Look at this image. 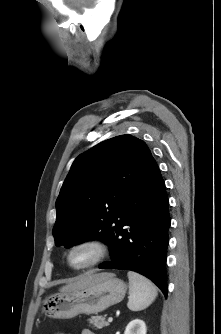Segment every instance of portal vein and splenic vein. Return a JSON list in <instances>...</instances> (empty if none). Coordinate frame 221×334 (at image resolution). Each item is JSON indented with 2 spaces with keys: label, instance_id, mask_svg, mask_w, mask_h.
<instances>
[{
  "label": "portal vein and splenic vein",
  "instance_id": "portal-vein-and-splenic-vein-1",
  "mask_svg": "<svg viewBox=\"0 0 221 334\" xmlns=\"http://www.w3.org/2000/svg\"><path fill=\"white\" fill-rule=\"evenodd\" d=\"M113 321V318L112 317H109L108 318V322H112Z\"/></svg>",
  "mask_w": 221,
  "mask_h": 334
}]
</instances>
